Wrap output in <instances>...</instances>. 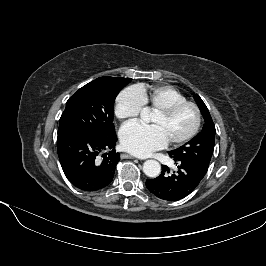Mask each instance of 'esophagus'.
<instances>
[{"mask_svg":"<svg viewBox=\"0 0 266 266\" xmlns=\"http://www.w3.org/2000/svg\"><path fill=\"white\" fill-rule=\"evenodd\" d=\"M124 158H128V159H135L136 157L129 155V154H123L122 155Z\"/></svg>","mask_w":266,"mask_h":266,"instance_id":"34e87169","label":"esophagus"}]
</instances>
